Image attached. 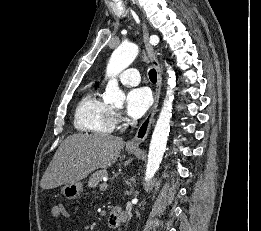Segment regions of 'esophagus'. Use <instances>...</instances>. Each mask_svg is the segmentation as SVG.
Wrapping results in <instances>:
<instances>
[{"label": "esophagus", "instance_id": "esophagus-1", "mask_svg": "<svg viewBox=\"0 0 261 231\" xmlns=\"http://www.w3.org/2000/svg\"><path fill=\"white\" fill-rule=\"evenodd\" d=\"M142 31L148 57L150 58L153 66H155L157 70V85L154 95L153 106L149 110L147 116L145 117L141 125L139 126L135 136L127 143V148H138L139 145L146 139L157 111L162 86V68L156 57L153 46L149 41V32L145 23H142ZM155 39L158 40V36L155 35Z\"/></svg>", "mask_w": 261, "mask_h": 231}]
</instances>
